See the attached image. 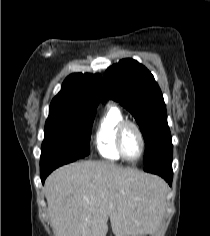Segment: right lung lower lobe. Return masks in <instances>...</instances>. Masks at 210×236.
<instances>
[{"mask_svg":"<svg viewBox=\"0 0 210 236\" xmlns=\"http://www.w3.org/2000/svg\"><path fill=\"white\" fill-rule=\"evenodd\" d=\"M77 160V159H76ZM75 160L72 159H67L64 157H56L52 156L46 159H41L40 160V176H41V181L44 184V181L46 177L56 168L59 166H62L64 164L73 162Z\"/></svg>","mask_w":210,"mask_h":236,"instance_id":"obj_1","label":"right lung lower lobe"}]
</instances>
